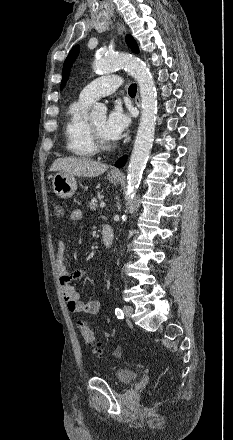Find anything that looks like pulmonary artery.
<instances>
[{"instance_id": "pulmonary-artery-1", "label": "pulmonary artery", "mask_w": 233, "mask_h": 440, "mask_svg": "<svg viewBox=\"0 0 233 440\" xmlns=\"http://www.w3.org/2000/svg\"><path fill=\"white\" fill-rule=\"evenodd\" d=\"M122 84V79L118 75H106L90 82L79 95V99L92 103L95 100L114 93Z\"/></svg>"}]
</instances>
